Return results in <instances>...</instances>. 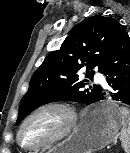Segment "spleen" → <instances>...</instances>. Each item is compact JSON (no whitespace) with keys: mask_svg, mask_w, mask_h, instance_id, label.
<instances>
[{"mask_svg":"<svg viewBox=\"0 0 130 153\" xmlns=\"http://www.w3.org/2000/svg\"><path fill=\"white\" fill-rule=\"evenodd\" d=\"M121 116L120 140L125 153H130V110L125 107L119 108Z\"/></svg>","mask_w":130,"mask_h":153,"instance_id":"spleen-1","label":"spleen"}]
</instances>
